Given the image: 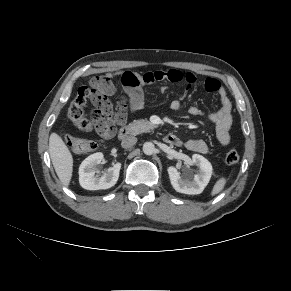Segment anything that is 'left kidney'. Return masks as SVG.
<instances>
[{
	"instance_id": "left-kidney-1",
	"label": "left kidney",
	"mask_w": 291,
	"mask_h": 291,
	"mask_svg": "<svg viewBox=\"0 0 291 291\" xmlns=\"http://www.w3.org/2000/svg\"><path fill=\"white\" fill-rule=\"evenodd\" d=\"M192 162L199 168L192 177H182L173 166L168 168L171 185L177 192L190 195L200 194L209 183L212 175L211 163L199 154L192 155Z\"/></svg>"
}]
</instances>
